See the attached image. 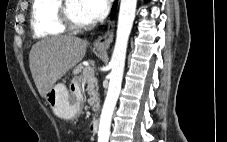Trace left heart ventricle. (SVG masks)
<instances>
[{"label": "left heart ventricle", "mask_w": 227, "mask_h": 142, "mask_svg": "<svg viewBox=\"0 0 227 142\" xmlns=\"http://www.w3.org/2000/svg\"><path fill=\"white\" fill-rule=\"evenodd\" d=\"M68 11L70 15L80 23H89V21L84 17L80 9L79 0H68L66 2Z\"/></svg>", "instance_id": "left-heart-ventricle-1"}]
</instances>
